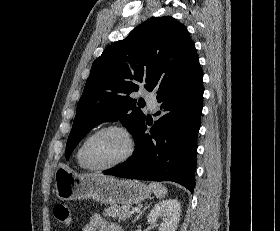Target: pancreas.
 <instances>
[{
	"label": "pancreas",
	"mask_w": 280,
	"mask_h": 231,
	"mask_svg": "<svg viewBox=\"0 0 280 231\" xmlns=\"http://www.w3.org/2000/svg\"><path fill=\"white\" fill-rule=\"evenodd\" d=\"M105 217H118V219H126L130 217V205H110L104 209Z\"/></svg>",
	"instance_id": "cf45deb5"
}]
</instances>
